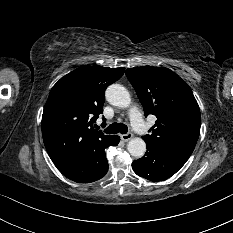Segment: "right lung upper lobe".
I'll use <instances>...</instances> for the list:
<instances>
[{"instance_id": "1", "label": "right lung upper lobe", "mask_w": 233, "mask_h": 233, "mask_svg": "<svg viewBox=\"0 0 233 233\" xmlns=\"http://www.w3.org/2000/svg\"><path fill=\"white\" fill-rule=\"evenodd\" d=\"M125 68L81 67L62 77L51 89L42 115V136L54 164L100 150L114 136L94 129L103 112L105 89Z\"/></svg>"}]
</instances>
